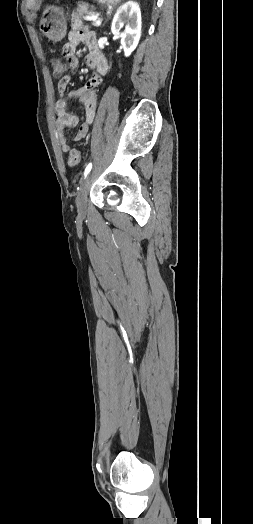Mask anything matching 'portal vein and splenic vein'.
Returning a JSON list of instances; mask_svg holds the SVG:
<instances>
[{"mask_svg":"<svg viewBox=\"0 0 253 524\" xmlns=\"http://www.w3.org/2000/svg\"><path fill=\"white\" fill-rule=\"evenodd\" d=\"M101 23H102V22H101V20H99V19H98V20H97V19H94V20H93V25H94V26H100Z\"/></svg>","mask_w":253,"mask_h":524,"instance_id":"portal-vein-and-splenic-vein-1","label":"portal vein and splenic vein"}]
</instances>
